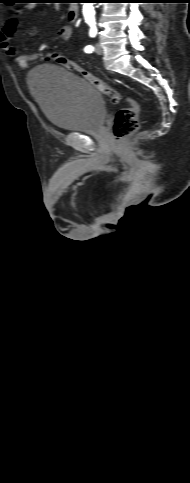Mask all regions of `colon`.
Wrapping results in <instances>:
<instances>
[{"instance_id":"1","label":"colon","mask_w":190,"mask_h":483,"mask_svg":"<svg viewBox=\"0 0 190 483\" xmlns=\"http://www.w3.org/2000/svg\"><path fill=\"white\" fill-rule=\"evenodd\" d=\"M51 59L63 66L70 72H74L90 82L98 91L110 98L114 103L125 101L127 106L121 108L115 117L112 132L117 139H123L138 130L139 127V112L140 107L136 100L131 97L123 95L116 90L112 85L104 80L95 77L91 72L82 68L74 61L68 59L64 54L55 52L51 55Z\"/></svg>"}]
</instances>
